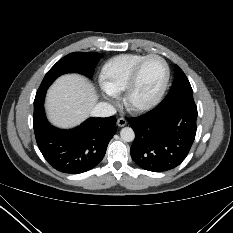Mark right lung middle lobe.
Masks as SVG:
<instances>
[{
    "label": "right lung middle lobe",
    "instance_id": "obj_1",
    "mask_svg": "<svg viewBox=\"0 0 233 233\" xmlns=\"http://www.w3.org/2000/svg\"><path fill=\"white\" fill-rule=\"evenodd\" d=\"M100 58L99 53L73 52L68 54L47 72L37 94L45 92L57 77L65 73H80L91 78Z\"/></svg>",
    "mask_w": 233,
    "mask_h": 233
}]
</instances>
